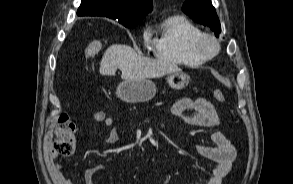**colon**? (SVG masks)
Returning a JSON list of instances; mask_svg holds the SVG:
<instances>
[{"label": "colon", "mask_w": 293, "mask_h": 184, "mask_svg": "<svg viewBox=\"0 0 293 184\" xmlns=\"http://www.w3.org/2000/svg\"><path fill=\"white\" fill-rule=\"evenodd\" d=\"M103 48L101 40H94L84 49L85 57H92L98 54ZM213 97L218 102H225V95L220 89L212 91ZM75 126L66 114L60 115L56 128L55 139L53 142L52 153L56 157H68L73 154L75 150L74 138Z\"/></svg>", "instance_id": "5ec220e1"}]
</instances>
